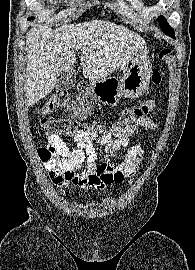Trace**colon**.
Instances as JSON below:
<instances>
[{
	"label": "colon",
	"instance_id": "1",
	"mask_svg": "<svg viewBox=\"0 0 195 270\" xmlns=\"http://www.w3.org/2000/svg\"><path fill=\"white\" fill-rule=\"evenodd\" d=\"M171 49H164L160 53V59H164L171 54ZM152 82L158 85L161 82V74L158 70L152 73ZM155 107V101L147 99L139 104L124 110L117 122L118 127H125L133 124L139 118L148 115ZM95 108V101L86 85H80L79 95L76 103H73L66 91L60 90L54 93L38 110L39 123L49 137L59 135H76L80 130L78 120L88 118ZM57 109H65L72 119L48 118ZM95 127L87 125L86 127ZM38 156L43 162L52 183L64 188L70 180L63 167V159L56 154L53 148L48 146L38 149Z\"/></svg>",
	"mask_w": 195,
	"mask_h": 270
}]
</instances>
